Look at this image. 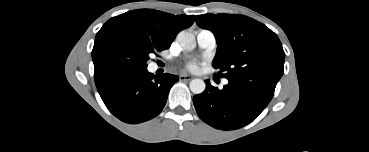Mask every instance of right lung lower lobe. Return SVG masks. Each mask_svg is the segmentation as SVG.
I'll return each instance as SVG.
<instances>
[{"instance_id":"1","label":"right lung lower lobe","mask_w":369,"mask_h":152,"mask_svg":"<svg viewBox=\"0 0 369 152\" xmlns=\"http://www.w3.org/2000/svg\"><path fill=\"white\" fill-rule=\"evenodd\" d=\"M178 76H154L146 68H119L95 78L98 92L109 111L120 120L136 124L157 116L166 104Z\"/></svg>"}]
</instances>
